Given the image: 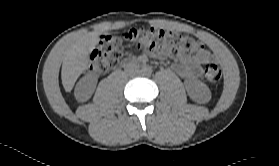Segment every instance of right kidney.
Returning a JSON list of instances; mask_svg holds the SVG:
<instances>
[{"mask_svg": "<svg viewBox=\"0 0 279 166\" xmlns=\"http://www.w3.org/2000/svg\"><path fill=\"white\" fill-rule=\"evenodd\" d=\"M96 82L90 76L83 77L76 85L75 96L79 101L88 100L95 90Z\"/></svg>", "mask_w": 279, "mask_h": 166, "instance_id": "obj_1", "label": "right kidney"}]
</instances>
